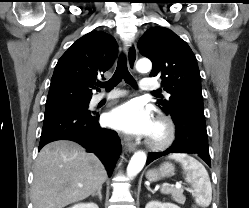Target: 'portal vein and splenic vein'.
<instances>
[{
    "instance_id": "obj_1",
    "label": "portal vein and splenic vein",
    "mask_w": 249,
    "mask_h": 208,
    "mask_svg": "<svg viewBox=\"0 0 249 208\" xmlns=\"http://www.w3.org/2000/svg\"><path fill=\"white\" fill-rule=\"evenodd\" d=\"M80 187H82V185H80ZM175 187H176V188H181V184H180V183H176V184H175Z\"/></svg>"
}]
</instances>
